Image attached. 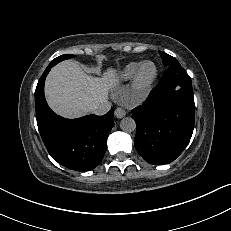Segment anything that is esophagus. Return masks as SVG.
Listing matches in <instances>:
<instances>
[{
	"label": "esophagus",
	"mask_w": 231,
	"mask_h": 231,
	"mask_svg": "<svg viewBox=\"0 0 231 231\" xmlns=\"http://www.w3.org/2000/svg\"><path fill=\"white\" fill-rule=\"evenodd\" d=\"M126 113H127L126 110L121 107L116 108L114 112L115 116L119 119L125 117Z\"/></svg>",
	"instance_id": "esophagus-1"
}]
</instances>
